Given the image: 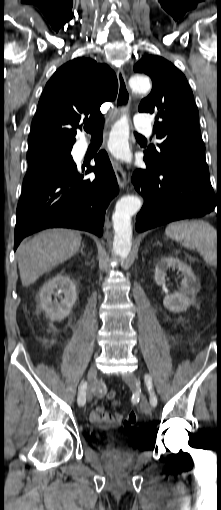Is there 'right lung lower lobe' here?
<instances>
[{"mask_svg":"<svg viewBox=\"0 0 221 510\" xmlns=\"http://www.w3.org/2000/svg\"><path fill=\"white\" fill-rule=\"evenodd\" d=\"M96 165L85 170L76 165L67 172H42L25 177L17 206L14 250L32 233L66 227L103 234L105 210L119 192L105 151L94 158ZM95 176L85 179L84 175Z\"/></svg>","mask_w":221,"mask_h":510,"instance_id":"right-lung-lower-lobe-1","label":"right lung lower lobe"}]
</instances>
